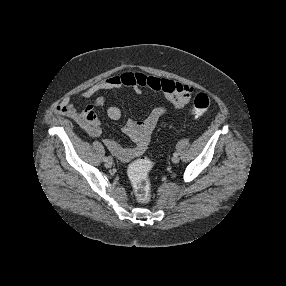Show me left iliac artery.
Instances as JSON below:
<instances>
[{"label": "left iliac artery", "mask_w": 286, "mask_h": 286, "mask_svg": "<svg viewBox=\"0 0 286 286\" xmlns=\"http://www.w3.org/2000/svg\"><path fill=\"white\" fill-rule=\"evenodd\" d=\"M173 155H174V156H178V155H179V153L175 152Z\"/></svg>", "instance_id": "left-iliac-artery-1"}]
</instances>
